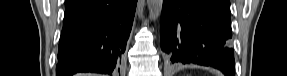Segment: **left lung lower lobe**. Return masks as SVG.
Here are the masks:
<instances>
[{
  "label": "left lung lower lobe",
  "mask_w": 287,
  "mask_h": 76,
  "mask_svg": "<svg viewBox=\"0 0 287 76\" xmlns=\"http://www.w3.org/2000/svg\"><path fill=\"white\" fill-rule=\"evenodd\" d=\"M160 36L168 62L213 66L234 76L230 14L209 0H164Z\"/></svg>",
  "instance_id": "1"
}]
</instances>
